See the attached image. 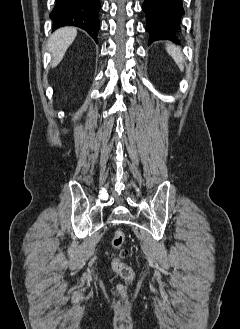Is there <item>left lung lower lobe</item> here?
I'll use <instances>...</instances> for the list:
<instances>
[{
	"label": "left lung lower lobe",
	"instance_id": "obj_1",
	"mask_svg": "<svg viewBox=\"0 0 240 329\" xmlns=\"http://www.w3.org/2000/svg\"><path fill=\"white\" fill-rule=\"evenodd\" d=\"M146 31L150 34L149 44L156 40L179 43L180 20L184 14L182 0H145Z\"/></svg>",
	"mask_w": 240,
	"mask_h": 329
}]
</instances>
